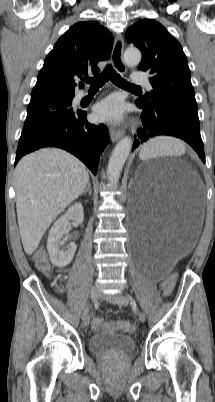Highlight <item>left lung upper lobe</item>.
Masks as SVG:
<instances>
[{
  "label": "left lung upper lobe",
  "mask_w": 215,
  "mask_h": 402,
  "mask_svg": "<svg viewBox=\"0 0 215 402\" xmlns=\"http://www.w3.org/2000/svg\"><path fill=\"white\" fill-rule=\"evenodd\" d=\"M125 38L142 53L139 70L151 74L153 90L142 98L169 101L198 112L187 58L164 26L155 20L142 19L128 28Z\"/></svg>",
  "instance_id": "5c2ea615"
}]
</instances>
